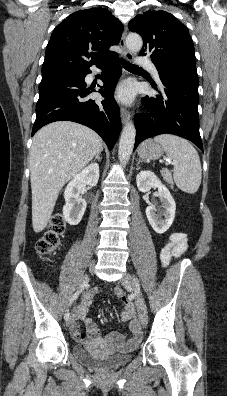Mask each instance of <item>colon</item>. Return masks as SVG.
I'll list each match as a JSON object with an SVG mask.
<instances>
[{
	"mask_svg": "<svg viewBox=\"0 0 227 396\" xmlns=\"http://www.w3.org/2000/svg\"><path fill=\"white\" fill-rule=\"evenodd\" d=\"M66 224L61 215H55L47 232L37 241L36 250L40 255L52 254L60 245L61 238L65 232ZM125 300L124 295H121Z\"/></svg>",
	"mask_w": 227,
	"mask_h": 396,
	"instance_id": "colon-1",
	"label": "colon"
}]
</instances>
